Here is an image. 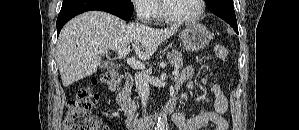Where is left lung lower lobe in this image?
<instances>
[{
	"mask_svg": "<svg viewBox=\"0 0 299 130\" xmlns=\"http://www.w3.org/2000/svg\"><path fill=\"white\" fill-rule=\"evenodd\" d=\"M208 9L227 23L238 33L237 21L233 7V0H210Z\"/></svg>",
	"mask_w": 299,
	"mask_h": 130,
	"instance_id": "0a47b994",
	"label": "left lung lower lobe"
}]
</instances>
